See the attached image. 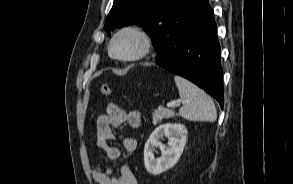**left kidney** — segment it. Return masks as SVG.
<instances>
[{
  "label": "left kidney",
  "mask_w": 293,
  "mask_h": 184,
  "mask_svg": "<svg viewBox=\"0 0 293 184\" xmlns=\"http://www.w3.org/2000/svg\"><path fill=\"white\" fill-rule=\"evenodd\" d=\"M168 138L167 146L160 142L163 137ZM187 141V129L182 124H163L158 126L150 135L144 147V164L146 170L159 175L172 168L183 153ZM160 148L161 157L155 159V148Z\"/></svg>",
  "instance_id": "5707ae66"
}]
</instances>
